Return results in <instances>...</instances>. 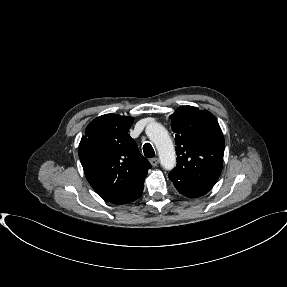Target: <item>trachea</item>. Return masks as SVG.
Instances as JSON below:
<instances>
[{"label": "trachea", "mask_w": 287, "mask_h": 287, "mask_svg": "<svg viewBox=\"0 0 287 287\" xmlns=\"http://www.w3.org/2000/svg\"><path fill=\"white\" fill-rule=\"evenodd\" d=\"M143 152H144L145 157L147 158H153L155 156V151L153 147L151 146V144L149 143H145L143 145Z\"/></svg>", "instance_id": "trachea-1"}]
</instances>
